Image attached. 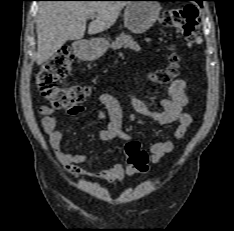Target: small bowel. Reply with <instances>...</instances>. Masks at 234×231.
<instances>
[{
    "label": "small bowel",
    "instance_id": "obj_1",
    "mask_svg": "<svg viewBox=\"0 0 234 231\" xmlns=\"http://www.w3.org/2000/svg\"><path fill=\"white\" fill-rule=\"evenodd\" d=\"M186 84L182 79H175L169 86L168 96L160 100V110H152L134 94L129 96V101L136 113L149 118L161 125L177 123L174 130V137L179 140L187 132L192 118L184 111L188 103L185 92ZM103 109L97 112L100 119H108L107 127L99 132V139L108 141L115 138L128 141L129 135L123 130V114L119 101L111 94H101L99 97ZM83 106H76L69 111L70 115H78L84 112ZM42 115L41 125L43 131L49 138V144L58 162L72 175L102 179L108 182H121L126 176L132 175L137 170L131 165H123L118 160H114L110 168L98 172H90L80 167L81 164L89 160L85 154H72L61 149L63 134L57 128L58 120L54 115V109L50 106H41L39 109ZM177 145L174 141H158L151 147L150 161L158 163L162 158L173 152Z\"/></svg>",
    "mask_w": 234,
    "mask_h": 231
}]
</instances>
